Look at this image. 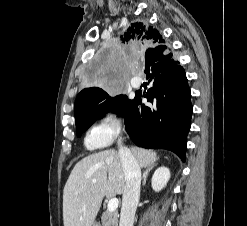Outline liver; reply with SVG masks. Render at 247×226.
I'll return each mask as SVG.
<instances>
[{"instance_id": "6515ba94", "label": "liver", "mask_w": 247, "mask_h": 226, "mask_svg": "<svg viewBox=\"0 0 247 226\" xmlns=\"http://www.w3.org/2000/svg\"><path fill=\"white\" fill-rule=\"evenodd\" d=\"M131 152L140 167H149L159 159L151 150L132 147ZM125 185L122 162L116 150L101 151L80 160L63 190L64 226H92L103 198L123 194Z\"/></svg>"}]
</instances>
